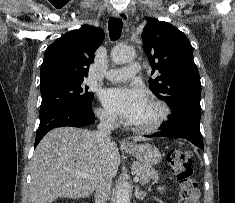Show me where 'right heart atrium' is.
I'll return each instance as SVG.
<instances>
[{"label": "right heart atrium", "mask_w": 235, "mask_h": 203, "mask_svg": "<svg viewBox=\"0 0 235 203\" xmlns=\"http://www.w3.org/2000/svg\"><path fill=\"white\" fill-rule=\"evenodd\" d=\"M97 115L99 119L106 125L112 126L116 123L115 117L103 109H98Z\"/></svg>", "instance_id": "d8ad5b80"}]
</instances>
